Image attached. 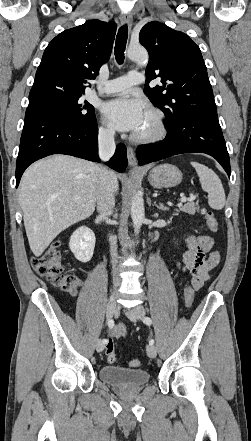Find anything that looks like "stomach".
<instances>
[{
  "label": "stomach",
  "mask_w": 251,
  "mask_h": 441,
  "mask_svg": "<svg viewBox=\"0 0 251 441\" xmlns=\"http://www.w3.org/2000/svg\"><path fill=\"white\" fill-rule=\"evenodd\" d=\"M181 171L174 165L161 164L153 167L148 174L149 183L155 188H171L182 181Z\"/></svg>",
  "instance_id": "stomach-1"
}]
</instances>
